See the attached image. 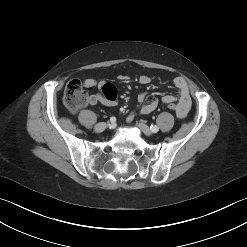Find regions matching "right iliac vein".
<instances>
[{
	"label": "right iliac vein",
	"instance_id": "63e3f726",
	"mask_svg": "<svg viewBox=\"0 0 247 247\" xmlns=\"http://www.w3.org/2000/svg\"><path fill=\"white\" fill-rule=\"evenodd\" d=\"M107 127V124L104 122L98 123L95 127H94V131L96 133H101L103 132Z\"/></svg>",
	"mask_w": 247,
	"mask_h": 247
}]
</instances>
